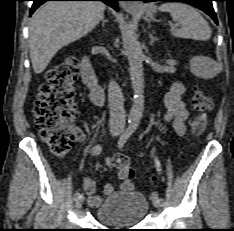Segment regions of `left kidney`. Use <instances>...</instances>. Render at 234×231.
Wrapping results in <instances>:
<instances>
[{
    "instance_id": "obj_1",
    "label": "left kidney",
    "mask_w": 234,
    "mask_h": 231,
    "mask_svg": "<svg viewBox=\"0 0 234 231\" xmlns=\"http://www.w3.org/2000/svg\"><path fill=\"white\" fill-rule=\"evenodd\" d=\"M190 71L196 77L211 79L222 71V65L209 57L194 56L190 60Z\"/></svg>"
}]
</instances>
